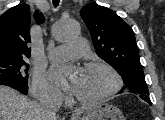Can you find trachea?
Instances as JSON below:
<instances>
[{
  "mask_svg": "<svg viewBox=\"0 0 165 120\" xmlns=\"http://www.w3.org/2000/svg\"><path fill=\"white\" fill-rule=\"evenodd\" d=\"M59 1H60V0H53V4H54L55 7L58 6Z\"/></svg>",
  "mask_w": 165,
  "mask_h": 120,
  "instance_id": "obj_1",
  "label": "trachea"
}]
</instances>
